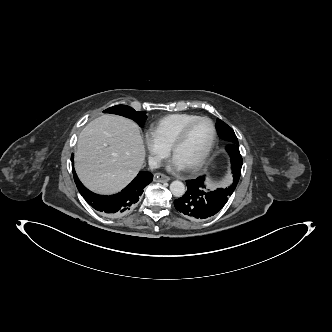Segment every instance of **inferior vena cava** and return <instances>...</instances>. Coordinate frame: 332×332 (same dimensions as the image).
I'll use <instances>...</instances> for the list:
<instances>
[{
    "label": "inferior vena cava",
    "instance_id": "inferior-vena-cava-1",
    "mask_svg": "<svg viewBox=\"0 0 332 332\" xmlns=\"http://www.w3.org/2000/svg\"><path fill=\"white\" fill-rule=\"evenodd\" d=\"M148 165L150 169H157L161 166V162L158 158L156 157H150L148 160Z\"/></svg>",
    "mask_w": 332,
    "mask_h": 332
}]
</instances>
